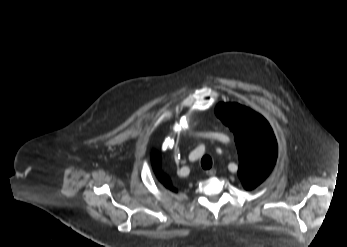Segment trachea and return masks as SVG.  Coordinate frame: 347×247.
<instances>
[{
  "mask_svg": "<svg viewBox=\"0 0 347 247\" xmlns=\"http://www.w3.org/2000/svg\"><path fill=\"white\" fill-rule=\"evenodd\" d=\"M201 165L204 169H210L212 167V160L208 155H205L201 160Z\"/></svg>",
  "mask_w": 347,
  "mask_h": 247,
  "instance_id": "obj_1",
  "label": "trachea"
}]
</instances>
